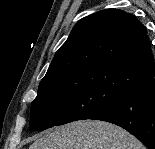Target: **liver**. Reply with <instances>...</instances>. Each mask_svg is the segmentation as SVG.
<instances>
[{
	"instance_id": "1",
	"label": "liver",
	"mask_w": 155,
	"mask_h": 149,
	"mask_svg": "<svg viewBox=\"0 0 155 149\" xmlns=\"http://www.w3.org/2000/svg\"><path fill=\"white\" fill-rule=\"evenodd\" d=\"M30 149H145L126 130L99 120L75 121L37 139Z\"/></svg>"
}]
</instances>
